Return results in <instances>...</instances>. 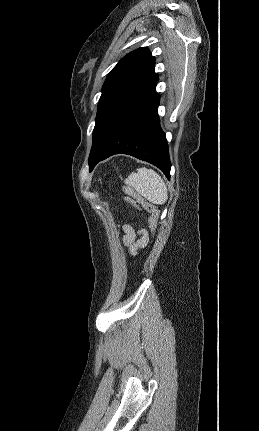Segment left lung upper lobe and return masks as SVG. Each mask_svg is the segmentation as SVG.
<instances>
[{
	"mask_svg": "<svg viewBox=\"0 0 259 431\" xmlns=\"http://www.w3.org/2000/svg\"><path fill=\"white\" fill-rule=\"evenodd\" d=\"M155 58L147 47L124 56L109 72L98 103L91 159L118 122L156 90Z\"/></svg>",
	"mask_w": 259,
	"mask_h": 431,
	"instance_id": "1",
	"label": "left lung upper lobe"
}]
</instances>
